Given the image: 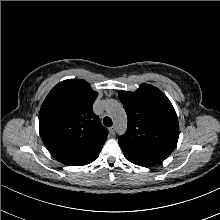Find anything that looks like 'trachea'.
<instances>
[{
    "label": "trachea",
    "mask_w": 220,
    "mask_h": 220,
    "mask_svg": "<svg viewBox=\"0 0 220 220\" xmlns=\"http://www.w3.org/2000/svg\"><path fill=\"white\" fill-rule=\"evenodd\" d=\"M103 124H104L105 126H107V127L112 126V120H111V118L108 117V116L104 117V119H103Z\"/></svg>",
    "instance_id": "1"
}]
</instances>
